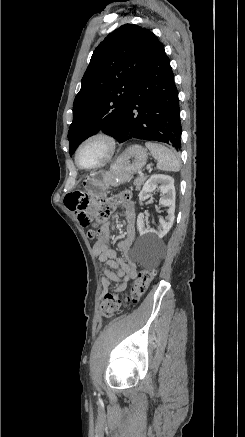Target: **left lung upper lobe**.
Returning <instances> with one entry per match:
<instances>
[{
    "instance_id": "left-lung-upper-lobe-1",
    "label": "left lung upper lobe",
    "mask_w": 245,
    "mask_h": 437,
    "mask_svg": "<svg viewBox=\"0 0 245 437\" xmlns=\"http://www.w3.org/2000/svg\"><path fill=\"white\" fill-rule=\"evenodd\" d=\"M159 44L150 30L125 24L98 45L74 100L70 154L100 130L120 139L133 86Z\"/></svg>"
}]
</instances>
